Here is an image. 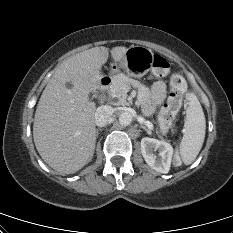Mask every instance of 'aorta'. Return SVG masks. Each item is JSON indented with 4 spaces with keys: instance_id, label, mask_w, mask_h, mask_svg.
I'll use <instances>...</instances> for the list:
<instances>
[{
    "instance_id": "1",
    "label": "aorta",
    "mask_w": 233,
    "mask_h": 233,
    "mask_svg": "<svg viewBox=\"0 0 233 233\" xmlns=\"http://www.w3.org/2000/svg\"><path fill=\"white\" fill-rule=\"evenodd\" d=\"M133 120V117L131 115V113L129 112H122L120 115H119V123L121 126H128L131 124Z\"/></svg>"
}]
</instances>
